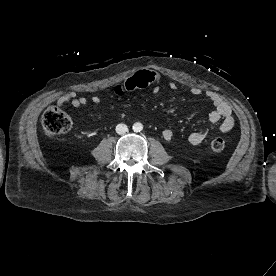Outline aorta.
<instances>
[{
	"label": "aorta",
	"instance_id": "1",
	"mask_svg": "<svg viewBox=\"0 0 276 276\" xmlns=\"http://www.w3.org/2000/svg\"><path fill=\"white\" fill-rule=\"evenodd\" d=\"M133 130L135 132H140L143 130V125L140 122H137L133 125Z\"/></svg>",
	"mask_w": 276,
	"mask_h": 276
}]
</instances>
